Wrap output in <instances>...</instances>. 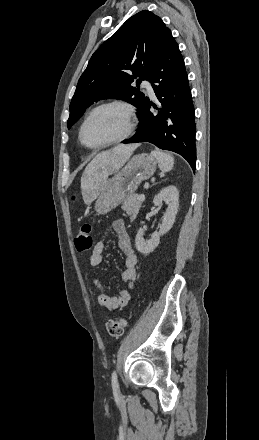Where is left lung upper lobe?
I'll return each mask as SVG.
<instances>
[{"label": "left lung upper lobe", "mask_w": 259, "mask_h": 440, "mask_svg": "<svg viewBox=\"0 0 259 440\" xmlns=\"http://www.w3.org/2000/svg\"><path fill=\"white\" fill-rule=\"evenodd\" d=\"M169 34L161 18L148 10L129 18L92 55L70 103L68 127L87 107L105 98L128 101L140 116L149 98L131 84L149 80Z\"/></svg>", "instance_id": "5c2ea615"}]
</instances>
